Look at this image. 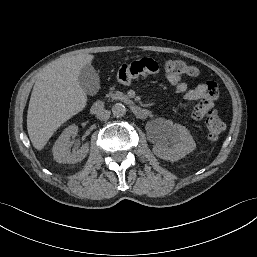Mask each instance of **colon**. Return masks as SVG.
I'll return each instance as SVG.
<instances>
[{
	"label": "colon",
	"mask_w": 257,
	"mask_h": 257,
	"mask_svg": "<svg viewBox=\"0 0 257 257\" xmlns=\"http://www.w3.org/2000/svg\"><path fill=\"white\" fill-rule=\"evenodd\" d=\"M163 72L168 77L171 74H176L179 77H193L198 74L195 67L186 62L174 59L168 60L163 65ZM207 136L211 140L218 139L225 130V124L216 112H210L206 120Z\"/></svg>",
	"instance_id": "5ec220e1"
}]
</instances>
